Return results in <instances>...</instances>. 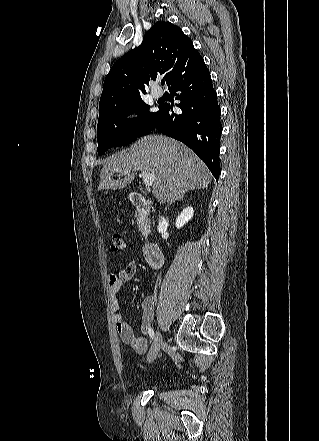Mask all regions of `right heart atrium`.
Here are the masks:
<instances>
[{
    "instance_id": "right-heart-atrium-1",
    "label": "right heart atrium",
    "mask_w": 319,
    "mask_h": 441,
    "mask_svg": "<svg viewBox=\"0 0 319 441\" xmlns=\"http://www.w3.org/2000/svg\"><path fill=\"white\" fill-rule=\"evenodd\" d=\"M130 127L133 130H136L139 127V122L136 119L130 121Z\"/></svg>"
}]
</instances>
